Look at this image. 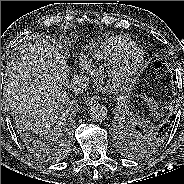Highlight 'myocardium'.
I'll list each match as a JSON object with an SVG mask.
<instances>
[{"label":"myocardium","mask_w":184,"mask_h":184,"mask_svg":"<svg viewBox=\"0 0 184 184\" xmlns=\"http://www.w3.org/2000/svg\"><path fill=\"white\" fill-rule=\"evenodd\" d=\"M143 61V51L139 48H131L111 61L108 77L114 84L124 86L135 77Z\"/></svg>","instance_id":"obj_1"}]
</instances>
